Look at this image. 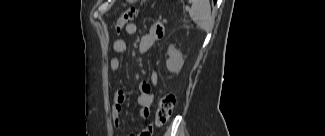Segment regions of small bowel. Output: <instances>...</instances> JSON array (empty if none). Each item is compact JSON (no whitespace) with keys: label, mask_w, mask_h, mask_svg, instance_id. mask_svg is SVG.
Wrapping results in <instances>:
<instances>
[{"label":"small bowel","mask_w":325,"mask_h":136,"mask_svg":"<svg viewBox=\"0 0 325 136\" xmlns=\"http://www.w3.org/2000/svg\"><path fill=\"white\" fill-rule=\"evenodd\" d=\"M122 30L128 36H133L137 33L138 27L135 23L125 25ZM165 32L164 25L158 23L150 29V31L144 34L139 41V51L142 53L148 52L152 45L160 40ZM113 49L116 53H124L127 50V42L122 38L114 40ZM122 67V60L118 57H113L110 60V69L113 72H118ZM157 74L152 73L151 83L143 82L138 86L137 102L140 106V115L142 118L147 119L151 114V107L154 101L153 86L156 84ZM126 100V93L124 90H118L114 96V106L112 108L113 123L119 127L121 124L120 115L122 110V104ZM148 132L151 134V127L141 130L137 133L138 136H142L143 133Z\"/></svg>","instance_id":"1"}]
</instances>
